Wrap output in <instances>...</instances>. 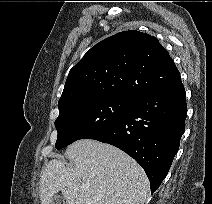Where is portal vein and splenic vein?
Masks as SVG:
<instances>
[{"instance_id": "obj_1", "label": "portal vein and splenic vein", "mask_w": 212, "mask_h": 204, "mask_svg": "<svg viewBox=\"0 0 212 204\" xmlns=\"http://www.w3.org/2000/svg\"><path fill=\"white\" fill-rule=\"evenodd\" d=\"M81 189L83 190V189H85V187H81Z\"/></svg>"}]
</instances>
